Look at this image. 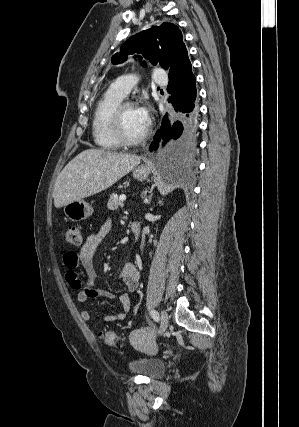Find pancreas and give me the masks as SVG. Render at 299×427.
I'll list each match as a JSON object with an SVG mask.
<instances>
[{"mask_svg":"<svg viewBox=\"0 0 299 427\" xmlns=\"http://www.w3.org/2000/svg\"><path fill=\"white\" fill-rule=\"evenodd\" d=\"M121 205H122V201L118 198V195L117 194H112L110 196V199H109L108 203H107V208L109 210H116Z\"/></svg>","mask_w":299,"mask_h":427,"instance_id":"pancreas-1","label":"pancreas"}]
</instances>
